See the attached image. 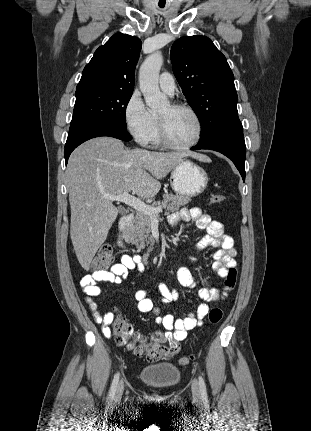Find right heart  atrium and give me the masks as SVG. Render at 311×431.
<instances>
[{
  "mask_svg": "<svg viewBox=\"0 0 311 431\" xmlns=\"http://www.w3.org/2000/svg\"><path fill=\"white\" fill-rule=\"evenodd\" d=\"M124 124L127 132L139 144L149 141V130L152 122V114L145 106L138 91H133L123 110Z\"/></svg>",
  "mask_w": 311,
  "mask_h": 431,
  "instance_id": "d8ad5b80",
  "label": "right heart atrium"
}]
</instances>
